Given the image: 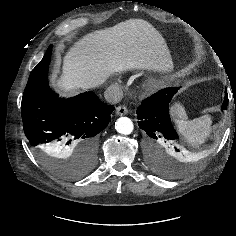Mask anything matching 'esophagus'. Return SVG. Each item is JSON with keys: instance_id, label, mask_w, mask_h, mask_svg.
<instances>
[{"instance_id": "1", "label": "esophagus", "mask_w": 236, "mask_h": 236, "mask_svg": "<svg viewBox=\"0 0 236 236\" xmlns=\"http://www.w3.org/2000/svg\"><path fill=\"white\" fill-rule=\"evenodd\" d=\"M127 113H128V109H127V107L124 106V105L118 106V107L116 108V114H117V115L122 116V115H125V114H127Z\"/></svg>"}]
</instances>
